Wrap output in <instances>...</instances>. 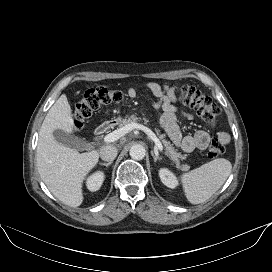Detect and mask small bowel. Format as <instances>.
Returning <instances> with one entry per match:
<instances>
[{"label":"small bowel","instance_id":"small-bowel-1","mask_svg":"<svg viewBox=\"0 0 272 272\" xmlns=\"http://www.w3.org/2000/svg\"><path fill=\"white\" fill-rule=\"evenodd\" d=\"M147 89L153 97L149 98L150 104L156 109H162L163 114L160 119L162 129L170 137L173 143L179 146L185 152H192L195 149L204 150L208 147L211 141L210 132H215L217 139L222 143H228L229 135L224 131H217L215 121L208 122L209 131L200 130L193 135L183 136L177 119V97L176 89L168 84L161 85L156 82H147L131 86L128 89V96L135 99L139 96V90ZM182 114L187 119H192L193 116L182 110Z\"/></svg>","mask_w":272,"mask_h":272}]
</instances>
